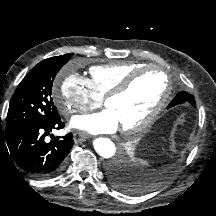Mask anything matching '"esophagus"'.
Returning <instances> with one entry per match:
<instances>
[{"label": "esophagus", "instance_id": "34e87169", "mask_svg": "<svg viewBox=\"0 0 216 216\" xmlns=\"http://www.w3.org/2000/svg\"><path fill=\"white\" fill-rule=\"evenodd\" d=\"M86 138H87V134L82 131H77L74 133V140L76 142L85 141Z\"/></svg>", "mask_w": 216, "mask_h": 216}]
</instances>
